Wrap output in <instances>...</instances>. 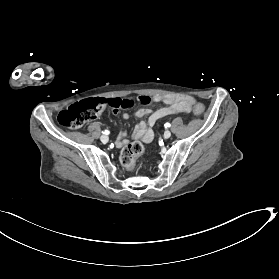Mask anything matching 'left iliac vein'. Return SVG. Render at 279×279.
<instances>
[{"mask_svg": "<svg viewBox=\"0 0 279 279\" xmlns=\"http://www.w3.org/2000/svg\"><path fill=\"white\" fill-rule=\"evenodd\" d=\"M171 136V132L169 130H166L164 132V138H169Z\"/></svg>", "mask_w": 279, "mask_h": 279, "instance_id": "obj_1", "label": "left iliac vein"}]
</instances>
